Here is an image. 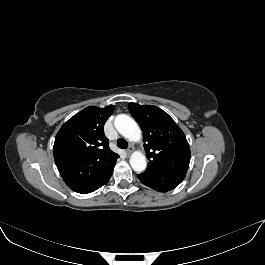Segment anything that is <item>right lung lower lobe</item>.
Masks as SVG:
<instances>
[{
	"instance_id": "obj_1",
	"label": "right lung lower lobe",
	"mask_w": 265,
	"mask_h": 265,
	"mask_svg": "<svg viewBox=\"0 0 265 265\" xmlns=\"http://www.w3.org/2000/svg\"><path fill=\"white\" fill-rule=\"evenodd\" d=\"M113 169L110 170L109 172H107L104 176H102L98 180L91 183L90 185H88V186H86V187H84V188H82L76 192L81 193V194H87V193H90V192L97 190L98 188L105 185L109 181V179L112 175Z\"/></svg>"
}]
</instances>
